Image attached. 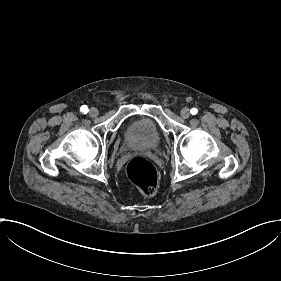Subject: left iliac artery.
<instances>
[{
  "mask_svg": "<svg viewBox=\"0 0 281 281\" xmlns=\"http://www.w3.org/2000/svg\"><path fill=\"white\" fill-rule=\"evenodd\" d=\"M190 112H191L192 115H195V114H197L198 110L196 108H192L190 110Z\"/></svg>",
  "mask_w": 281,
  "mask_h": 281,
  "instance_id": "44dca946",
  "label": "left iliac artery"
}]
</instances>
